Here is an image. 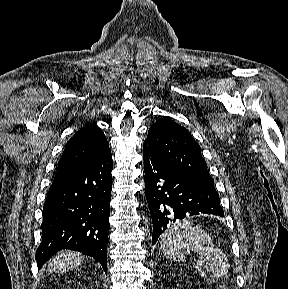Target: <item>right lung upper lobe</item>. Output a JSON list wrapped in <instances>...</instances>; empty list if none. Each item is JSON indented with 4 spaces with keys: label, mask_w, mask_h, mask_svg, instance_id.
Returning <instances> with one entry per match:
<instances>
[{
    "label": "right lung upper lobe",
    "mask_w": 288,
    "mask_h": 289,
    "mask_svg": "<svg viewBox=\"0 0 288 289\" xmlns=\"http://www.w3.org/2000/svg\"><path fill=\"white\" fill-rule=\"evenodd\" d=\"M109 154V143L104 133L98 126L90 124L67 142L58 170L89 165Z\"/></svg>",
    "instance_id": "cb5924a9"
}]
</instances>
